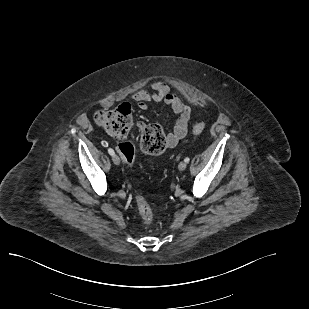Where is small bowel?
Here are the masks:
<instances>
[{"label": "small bowel", "instance_id": "obj_1", "mask_svg": "<svg viewBox=\"0 0 309 309\" xmlns=\"http://www.w3.org/2000/svg\"><path fill=\"white\" fill-rule=\"evenodd\" d=\"M132 99L140 110H146L150 102H163L178 116L173 130L167 135V146H176L187 135L192 110L166 83L154 81L146 88L135 91Z\"/></svg>", "mask_w": 309, "mask_h": 309}]
</instances>
